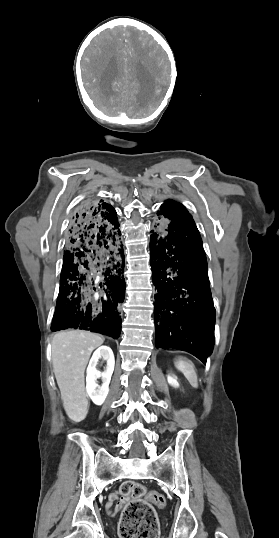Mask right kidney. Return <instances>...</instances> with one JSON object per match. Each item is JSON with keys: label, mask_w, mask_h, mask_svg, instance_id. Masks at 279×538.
<instances>
[{"label": "right kidney", "mask_w": 279, "mask_h": 538, "mask_svg": "<svg viewBox=\"0 0 279 538\" xmlns=\"http://www.w3.org/2000/svg\"><path fill=\"white\" fill-rule=\"evenodd\" d=\"M100 358H103V360H106L107 362L106 370H104V372H98V370H96ZM114 366V354L109 346H100V348L94 352L89 362L87 368L86 390L89 398H91L96 406H101V404H103L109 392V384L114 372ZM98 378H101L103 382L101 386H98L97 384Z\"/></svg>", "instance_id": "ca27d5eb"}]
</instances>
